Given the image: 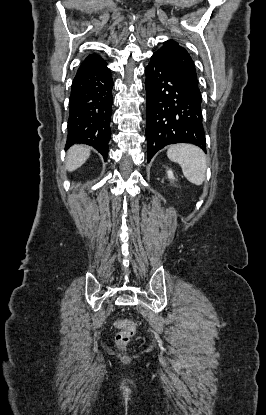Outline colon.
Wrapping results in <instances>:
<instances>
[{
  "mask_svg": "<svg viewBox=\"0 0 266 415\" xmlns=\"http://www.w3.org/2000/svg\"><path fill=\"white\" fill-rule=\"evenodd\" d=\"M114 326L118 329L115 335V343L118 348L124 349L135 334V325L129 320H117Z\"/></svg>",
  "mask_w": 266,
  "mask_h": 415,
  "instance_id": "colon-1",
  "label": "colon"
}]
</instances>
